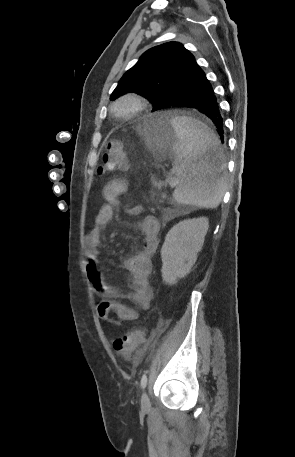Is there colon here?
<instances>
[{"mask_svg":"<svg viewBox=\"0 0 295 457\" xmlns=\"http://www.w3.org/2000/svg\"><path fill=\"white\" fill-rule=\"evenodd\" d=\"M129 167V156L118 140L108 142L106 152L103 156L99 173L126 171ZM145 342V333L142 329H135L113 342L114 349L123 356H132L136 350Z\"/></svg>","mask_w":295,"mask_h":457,"instance_id":"obj_1","label":"colon"}]
</instances>
